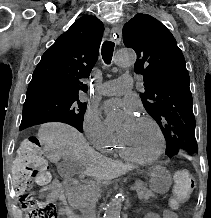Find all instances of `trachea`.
I'll list each match as a JSON object with an SVG mask.
<instances>
[{"label":"trachea","mask_w":211,"mask_h":218,"mask_svg":"<svg viewBox=\"0 0 211 218\" xmlns=\"http://www.w3.org/2000/svg\"><path fill=\"white\" fill-rule=\"evenodd\" d=\"M114 46L115 44L108 40H106L102 45V58L107 65L111 63Z\"/></svg>","instance_id":"3493384b"}]
</instances>
